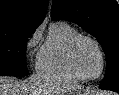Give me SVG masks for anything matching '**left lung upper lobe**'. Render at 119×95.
<instances>
[{
  "instance_id": "obj_1",
  "label": "left lung upper lobe",
  "mask_w": 119,
  "mask_h": 95,
  "mask_svg": "<svg viewBox=\"0 0 119 95\" xmlns=\"http://www.w3.org/2000/svg\"><path fill=\"white\" fill-rule=\"evenodd\" d=\"M53 20H68L96 37L106 54L101 89L119 88V5L115 0H53Z\"/></svg>"
}]
</instances>
